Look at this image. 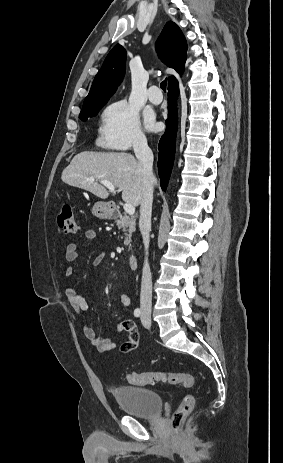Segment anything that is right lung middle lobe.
Listing matches in <instances>:
<instances>
[{
	"instance_id": "right-lung-middle-lobe-1",
	"label": "right lung middle lobe",
	"mask_w": 283,
	"mask_h": 463,
	"mask_svg": "<svg viewBox=\"0 0 283 463\" xmlns=\"http://www.w3.org/2000/svg\"><path fill=\"white\" fill-rule=\"evenodd\" d=\"M107 101H103L100 103L83 106L79 118L83 121H86L88 117L96 116L99 110L106 104Z\"/></svg>"
}]
</instances>
